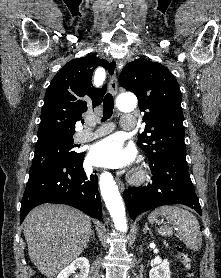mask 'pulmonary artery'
<instances>
[{
  "instance_id": "pulmonary-artery-1",
  "label": "pulmonary artery",
  "mask_w": 221,
  "mask_h": 278,
  "mask_svg": "<svg viewBox=\"0 0 221 278\" xmlns=\"http://www.w3.org/2000/svg\"><path fill=\"white\" fill-rule=\"evenodd\" d=\"M121 123L124 129H131L134 126L135 117L132 115H125L123 116ZM91 127H93V123H88L86 128L78 133L77 140L79 142H87L93 140L113 130L112 125H107L95 129H92Z\"/></svg>"
}]
</instances>
